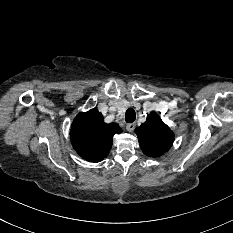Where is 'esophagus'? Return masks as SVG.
Wrapping results in <instances>:
<instances>
[{"label":"esophagus","mask_w":233,"mask_h":233,"mask_svg":"<svg viewBox=\"0 0 233 233\" xmlns=\"http://www.w3.org/2000/svg\"><path fill=\"white\" fill-rule=\"evenodd\" d=\"M135 126H136L135 123H129L126 126V129H127L128 132H133V130L135 129Z\"/></svg>","instance_id":"34e87169"}]
</instances>
